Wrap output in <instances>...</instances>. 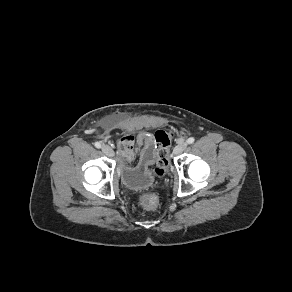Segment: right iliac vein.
I'll list each match as a JSON object with an SVG mask.
<instances>
[{
	"label": "right iliac vein",
	"instance_id": "obj_1",
	"mask_svg": "<svg viewBox=\"0 0 292 292\" xmlns=\"http://www.w3.org/2000/svg\"><path fill=\"white\" fill-rule=\"evenodd\" d=\"M102 151L107 155L112 157L114 155V151L112 150V148L108 145H103L102 146Z\"/></svg>",
	"mask_w": 292,
	"mask_h": 292
}]
</instances>
